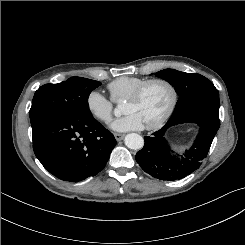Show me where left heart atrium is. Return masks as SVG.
I'll return each mask as SVG.
<instances>
[{
    "instance_id": "39dd6f15",
    "label": "left heart atrium",
    "mask_w": 245,
    "mask_h": 245,
    "mask_svg": "<svg viewBox=\"0 0 245 245\" xmlns=\"http://www.w3.org/2000/svg\"><path fill=\"white\" fill-rule=\"evenodd\" d=\"M144 126L145 125L142 120L133 113L126 114L125 116L120 117L111 123V128L119 132L141 130L144 128Z\"/></svg>"
}]
</instances>
